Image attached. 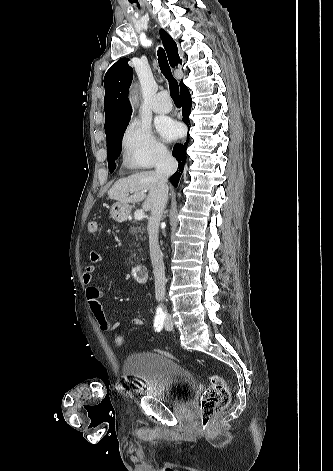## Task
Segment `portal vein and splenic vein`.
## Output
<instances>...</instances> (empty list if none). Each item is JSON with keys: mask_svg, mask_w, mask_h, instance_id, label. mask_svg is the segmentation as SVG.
<instances>
[{"mask_svg": "<svg viewBox=\"0 0 333 471\" xmlns=\"http://www.w3.org/2000/svg\"><path fill=\"white\" fill-rule=\"evenodd\" d=\"M145 217L144 211L143 210H136L134 213V218L136 220H142Z\"/></svg>", "mask_w": 333, "mask_h": 471, "instance_id": "1", "label": "portal vein and splenic vein"}]
</instances>
